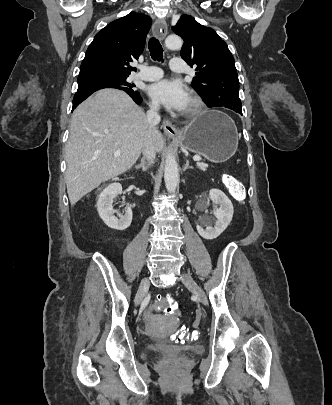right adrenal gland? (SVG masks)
Returning <instances> with one entry per match:
<instances>
[{
    "mask_svg": "<svg viewBox=\"0 0 332 405\" xmlns=\"http://www.w3.org/2000/svg\"><path fill=\"white\" fill-rule=\"evenodd\" d=\"M140 168L142 169L143 172H146V171L148 170V168H149V164L146 163V162L142 159V160H141V163L136 166V169H140Z\"/></svg>",
    "mask_w": 332,
    "mask_h": 405,
    "instance_id": "1",
    "label": "right adrenal gland"
}]
</instances>
